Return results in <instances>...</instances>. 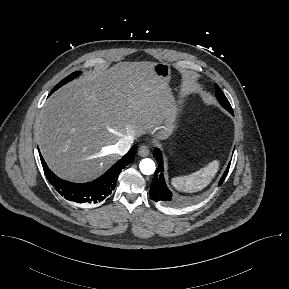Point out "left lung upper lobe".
Returning a JSON list of instances; mask_svg holds the SVG:
<instances>
[{"instance_id": "left-lung-upper-lobe-1", "label": "left lung upper lobe", "mask_w": 289, "mask_h": 289, "mask_svg": "<svg viewBox=\"0 0 289 289\" xmlns=\"http://www.w3.org/2000/svg\"><path fill=\"white\" fill-rule=\"evenodd\" d=\"M215 90H216V98L219 101V103L225 108L227 107L226 105L231 106L228 99L226 98V96L224 95V93L221 91V89L217 84H215Z\"/></svg>"}]
</instances>
